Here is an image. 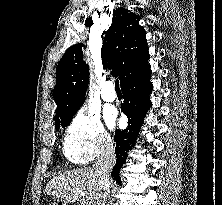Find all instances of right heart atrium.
<instances>
[{"label":"right heart atrium","instance_id":"1","mask_svg":"<svg viewBox=\"0 0 222 205\" xmlns=\"http://www.w3.org/2000/svg\"><path fill=\"white\" fill-rule=\"evenodd\" d=\"M112 146V138L99 117L81 110L68 125L64 137L66 157L78 164H85Z\"/></svg>","mask_w":222,"mask_h":205}]
</instances>
